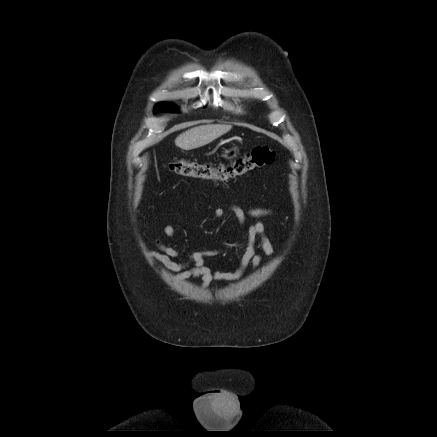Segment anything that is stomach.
<instances>
[{
  "label": "stomach",
  "instance_id": "1",
  "mask_svg": "<svg viewBox=\"0 0 437 437\" xmlns=\"http://www.w3.org/2000/svg\"><path fill=\"white\" fill-rule=\"evenodd\" d=\"M237 154H238L237 148H232V149L226 150L223 154V157L226 159H232V158L236 157Z\"/></svg>",
  "mask_w": 437,
  "mask_h": 437
}]
</instances>
